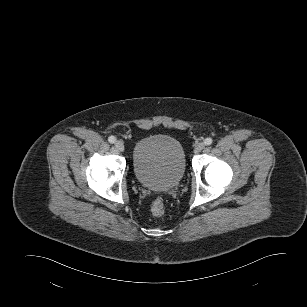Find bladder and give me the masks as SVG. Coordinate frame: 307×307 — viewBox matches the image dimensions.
<instances>
[{
  "instance_id": "bladder-1",
  "label": "bladder",
  "mask_w": 307,
  "mask_h": 307,
  "mask_svg": "<svg viewBox=\"0 0 307 307\" xmlns=\"http://www.w3.org/2000/svg\"><path fill=\"white\" fill-rule=\"evenodd\" d=\"M132 167L140 184L166 191L177 186L185 174V151L181 142L172 136H149L136 143Z\"/></svg>"
}]
</instances>
